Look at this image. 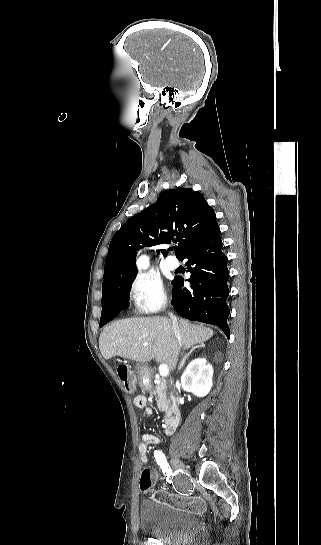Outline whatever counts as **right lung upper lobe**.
<instances>
[{
  "label": "right lung upper lobe",
  "mask_w": 321,
  "mask_h": 545,
  "mask_svg": "<svg viewBox=\"0 0 321 545\" xmlns=\"http://www.w3.org/2000/svg\"><path fill=\"white\" fill-rule=\"evenodd\" d=\"M214 210L191 188L163 191L153 204L127 220L114 234L105 261L102 290L117 287L136 273L135 256L142 246L178 241L177 258L217 226ZM159 252V250L157 251ZM164 256L167 250L162 249Z\"/></svg>",
  "instance_id": "cb5924a9"
}]
</instances>
